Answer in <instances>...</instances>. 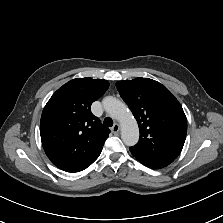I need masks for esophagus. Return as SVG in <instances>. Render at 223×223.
Masks as SVG:
<instances>
[{"label": "esophagus", "mask_w": 223, "mask_h": 223, "mask_svg": "<svg viewBox=\"0 0 223 223\" xmlns=\"http://www.w3.org/2000/svg\"><path fill=\"white\" fill-rule=\"evenodd\" d=\"M119 131H120V126L118 123H115L111 128V132L113 134H118Z\"/></svg>", "instance_id": "1"}]
</instances>
